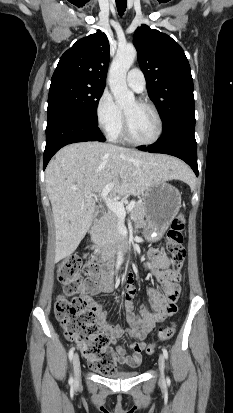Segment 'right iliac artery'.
Listing matches in <instances>:
<instances>
[{
    "label": "right iliac artery",
    "mask_w": 233,
    "mask_h": 413,
    "mask_svg": "<svg viewBox=\"0 0 233 413\" xmlns=\"http://www.w3.org/2000/svg\"><path fill=\"white\" fill-rule=\"evenodd\" d=\"M117 269H118V267H117ZM73 354H74V348L72 347V348L70 349V351H69V360H70V362H71L72 359H73ZM73 383H74L73 377L70 376L69 384H70L71 386H73Z\"/></svg>",
    "instance_id": "obj_1"
}]
</instances>
